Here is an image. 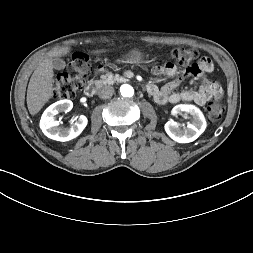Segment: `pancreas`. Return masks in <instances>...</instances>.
<instances>
[{
  "label": "pancreas",
  "instance_id": "pancreas-1",
  "mask_svg": "<svg viewBox=\"0 0 253 253\" xmlns=\"http://www.w3.org/2000/svg\"><path fill=\"white\" fill-rule=\"evenodd\" d=\"M117 79H119V77L112 75H104L101 77L100 83H114V81H116Z\"/></svg>",
  "mask_w": 253,
  "mask_h": 253
}]
</instances>
